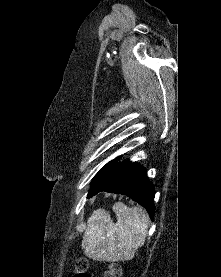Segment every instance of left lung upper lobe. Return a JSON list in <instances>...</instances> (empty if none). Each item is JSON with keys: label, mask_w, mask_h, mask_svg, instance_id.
I'll list each match as a JSON object with an SVG mask.
<instances>
[{"label": "left lung upper lobe", "mask_w": 221, "mask_h": 277, "mask_svg": "<svg viewBox=\"0 0 221 277\" xmlns=\"http://www.w3.org/2000/svg\"><path fill=\"white\" fill-rule=\"evenodd\" d=\"M120 157L115 158L114 160L110 161L107 163L94 177V180L92 182L93 184H97L100 181L112 177L115 174H117L120 170H122L125 166H127L130 162L125 161L119 164H115V162L119 159Z\"/></svg>", "instance_id": "1"}]
</instances>
